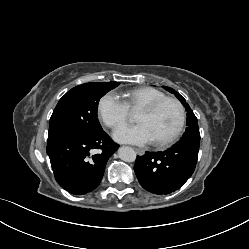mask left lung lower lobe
Here are the masks:
<instances>
[{
  "label": "left lung lower lobe",
  "instance_id": "1",
  "mask_svg": "<svg viewBox=\"0 0 249 249\" xmlns=\"http://www.w3.org/2000/svg\"><path fill=\"white\" fill-rule=\"evenodd\" d=\"M199 144L180 143L162 152L137 156L134 170L141 186L155 194L178 190L193 174Z\"/></svg>",
  "mask_w": 249,
  "mask_h": 249
}]
</instances>
